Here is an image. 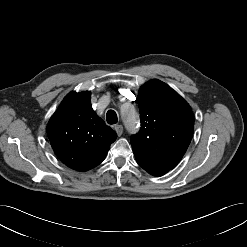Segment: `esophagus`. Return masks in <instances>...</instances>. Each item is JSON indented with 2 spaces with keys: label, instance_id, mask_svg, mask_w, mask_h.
<instances>
[{
  "label": "esophagus",
  "instance_id": "obj_1",
  "mask_svg": "<svg viewBox=\"0 0 247 247\" xmlns=\"http://www.w3.org/2000/svg\"><path fill=\"white\" fill-rule=\"evenodd\" d=\"M114 130L116 131L118 136H121L123 133V126L122 125H115Z\"/></svg>",
  "mask_w": 247,
  "mask_h": 247
}]
</instances>
